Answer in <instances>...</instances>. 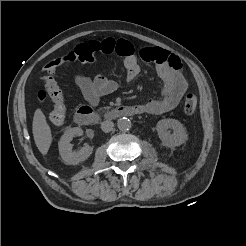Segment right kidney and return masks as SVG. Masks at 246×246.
I'll return each instance as SVG.
<instances>
[{
	"mask_svg": "<svg viewBox=\"0 0 246 246\" xmlns=\"http://www.w3.org/2000/svg\"><path fill=\"white\" fill-rule=\"evenodd\" d=\"M83 130L79 127L70 128L62 135L58 146L61 158L66 164L77 165L80 162L85 161L92 154L93 148L87 144L82 146L78 150L72 149L71 141L75 136H81Z\"/></svg>",
	"mask_w": 246,
	"mask_h": 246,
	"instance_id": "ca27d5eb",
	"label": "right kidney"
}]
</instances>
